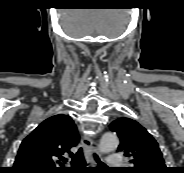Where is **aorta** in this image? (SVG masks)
<instances>
[{"label": "aorta", "instance_id": "762f6f07", "mask_svg": "<svg viewBox=\"0 0 184 173\" xmlns=\"http://www.w3.org/2000/svg\"><path fill=\"white\" fill-rule=\"evenodd\" d=\"M119 145V139L114 133H105L101 140L99 145V151L101 153H109L113 150H115Z\"/></svg>", "mask_w": 184, "mask_h": 173}]
</instances>
